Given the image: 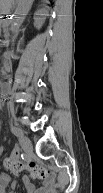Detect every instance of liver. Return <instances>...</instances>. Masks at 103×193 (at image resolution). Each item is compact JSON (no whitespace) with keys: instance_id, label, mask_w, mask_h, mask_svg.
Listing matches in <instances>:
<instances>
[{"instance_id":"liver-1","label":"liver","mask_w":103,"mask_h":193,"mask_svg":"<svg viewBox=\"0 0 103 193\" xmlns=\"http://www.w3.org/2000/svg\"><path fill=\"white\" fill-rule=\"evenodd\" d=\"M11 2L10 0H1L0 1V11L1 13H8L11 8Z\"/></svg>"}]
</instances>
